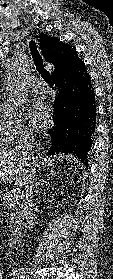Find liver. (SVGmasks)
Here are the masks:
<instances>
[{
	"mask_svg": "<svg viewBox=\"0 0 113 279\" xmlns=\"http://www.w3.org/2000/svg\"><path fill=\"white\" fill-rule=\"evenodd\" d=\"M32 159L16 149L8 151L0 149V183L14 182L16 185L24 186L29 171H32Z\"/></svg>",
	"mask_w": 113,
	"mask_h": 279,
	"instance_id": "1",
	"label": "liver"
}]
</instances>
